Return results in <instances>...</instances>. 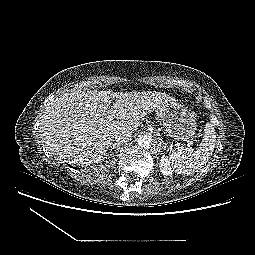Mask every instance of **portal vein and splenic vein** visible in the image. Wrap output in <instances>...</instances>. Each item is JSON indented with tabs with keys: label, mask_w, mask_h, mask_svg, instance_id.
Returning a JSON list of instances; mask_svg holds the SVG:
<instances>
[{
	"label": "portal vein and splenic vein",
	"mask_w": 255,
	"mask_h": 255,
	"mask_svg": "<svg viewBox=\"0 0 255 255\" xmlns=\"http://www.w3.org/2000/svg\"><path fill=\"white\" fill-rule=\"evenodd\" d=\"M108 119L111 121L113 120L112 116H108ZM188 146L192 145L193 143L191 141H187Z\"/></svg>",
	"instance_id": "portal-vein-and-splenic-vein-1"
}]
</instances>
